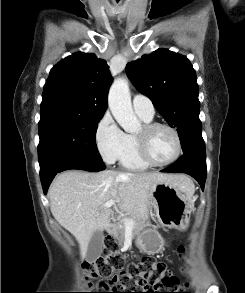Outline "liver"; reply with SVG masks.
Returning a JSON list of instances; mask_svg holds the SVG:
<instances>
[{
    "instance_id": "obj_1",
    "label": "liver",
    "mask_w": 245,
    "mask_h": 293,
    "mask_svg": "<svg viewBox=\"0 0 245 293\" xmlns=\"http://www.w3.org/2000/svg\"><path fill=\"white\" fill-rule=\"evenodd\" d=\"M163 182L177 185L189 196L193 194L191 181L179 174L70 170L52 182L48 190L50 209L56 221L76 238L84 259L92 234L111 226L113 210L146 214L150 192ZM110 200L115 202L113 210L103 207Z\"/></svg>"
}]
</instances>
